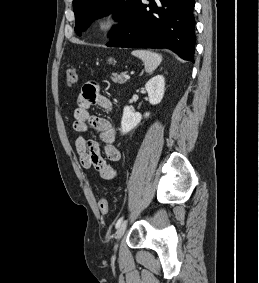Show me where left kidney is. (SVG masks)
<instances>
[{"label":"left kidney","instance_id":"1","mask_svg":"<svg viewBox=\"0 0 259 283\" xmlns=\"http://www.w3.org/2000/svg\"><path fill=\"white\" fill-rule=\"evenodd\" d=\"M145 89L148 92L149 103L152 105L159 104L164 96L165 90V79L162 75H156L150 79L146 85ZM149 112L144 114V117L149 116ZM142 115L140 113L133 112L129 107H124L123 116L121 120V132L122 134H127L133 130L142 120Z\"/></svg>","mask_w":259,"mask_h":283}]
</instances>
